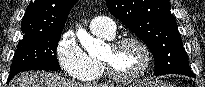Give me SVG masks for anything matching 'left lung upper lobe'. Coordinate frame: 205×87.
<instances>
[{"instance_id": "1", "label": "left lung upper lobe", "mask_w": 205, "mask_h": 87, "mask_svg": "<svg viewBox=\"0 0 205 87\" xmlns=\"http://www.w3.org/2000/svg\"><path fill=\"white\" fill-rule=\"evenodd\" d=\"M106 4L147 45L155 60V75L191 71L168 0H106Z\"/></svg>"}]
</instances>
